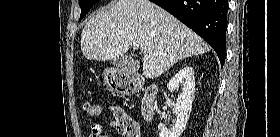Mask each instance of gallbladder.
I'll list each match as a JSON object with an SVG mask.
<instances>
[{"mask_svg":"<svg viewBox=\"0 0 280 137\" xmlns=\"http://www.w3.org/2000/svg\"><path fill=\"white\" fill-rule=\"evenodd\" d=\"M115 69H120L126 72H134L138 69V64L135 60L128 56H120L111 60Z\"/></svg>","mask_w":280,"mask_h":137,"instance_id":"gallbladder-1","label":"gallbladder"}]
</instances>
